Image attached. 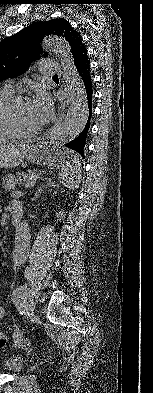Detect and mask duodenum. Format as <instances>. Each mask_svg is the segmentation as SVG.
<instances>
[{
    "mask_svg": "<svg viewBox=\"0 0 153 393\" xmlns=\"http://www.w3.org/2000/svg\"><path fill=\"white\" fill-rule=\"evenodd\" d=\"M18 221H19V216H18V214L16 213V214H15V218H14V222L17 223Z\"/></svg>",
    "mask_w": 153,
    "mask_h": 393,
    "instance_id": "410a0bca",
    "label": "duodenum"
}]
</instances>
